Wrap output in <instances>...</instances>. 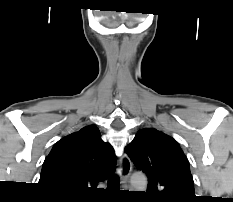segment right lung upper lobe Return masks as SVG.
<instances>
[{"label": "right lung upper lobe", "mask_w": 233, "mask_h": 202, "mask_svg": "<svg viewBox=\"0 0 233 202\" xmlns=\"http://www.w3.org/2000/svg\"><path fill=\"white\" fill-rule=\"evenodd\" d=\"M115 165L112 146L90 125L54 145L43 163L39 184L57 196H86Z\"/></svg>", "instance_id": "cb5924a9"}]
</instances>
